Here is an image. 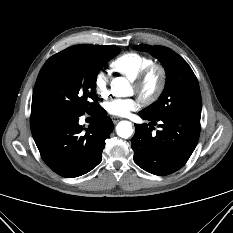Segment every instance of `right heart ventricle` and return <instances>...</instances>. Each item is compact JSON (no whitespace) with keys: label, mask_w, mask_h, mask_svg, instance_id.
Instances as JSON below:
<instances>
[{"label":"right heart ventricle","mask_w":233,"mask_h":233,"mask_svg":"<svg viewBox=\"0 0 233 233\" xmlns=\"http://www.w3.org/2000/svg\"><path fill=\"white\" fill-rule=\"evenodd\" d=\"M153 63L151 57L137 53L127 52L111 62V68L128 79L132 80L142 69Z\"/></svg>","instance_id":"right-heart-ventricle-1"}]
</instances>
